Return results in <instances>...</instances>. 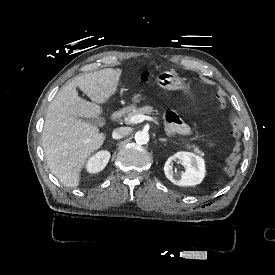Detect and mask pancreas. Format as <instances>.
I'll use <instances>...</instances> for the list:
<instances>
[{
  "label": "pancreas",
  "instance_id": "pancreas-1",
  "mask_svg": "<svg viewBox=\"0 0 275 275\" xmlns=\"http://www.w3.org/2000/svg\"><path fill=\"white\" fill-rule=\"evenodd\" d=\"M153 107L151 106H143L141 108H134L133 106H129L127 108H124L122 110H119L116 112L118 117H121L120 121H124L125 124H130V119L138 114H151L153 112ZM186 148L191 149L193 148L194 152L200 156H204V153L195 145L186 144Z\"/></svg>",
  "mask_w": 275,
  "mask_h": 275
}]
</instances>
